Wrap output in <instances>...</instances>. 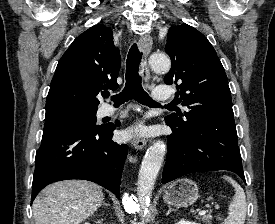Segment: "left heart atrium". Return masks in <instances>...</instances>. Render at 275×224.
<instances>
[{"label":"left heart atrium","instance_id":"obj_1","mask_svg":"<svg viewBox=\"0 0 275 224\" xmlns=\"http://www.w3.org/2000/svg\"><path fill=\"white\" fill-rule=\"evenodd\" d=\"M136 132H137L138 134H141V133L143 132V130H142V129H136Z\"/></svg>","mask_w":275,"mask_h":224}]
</instances>
